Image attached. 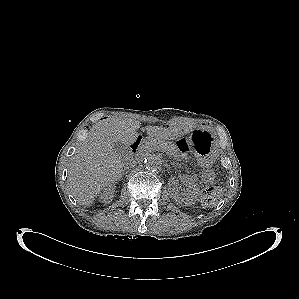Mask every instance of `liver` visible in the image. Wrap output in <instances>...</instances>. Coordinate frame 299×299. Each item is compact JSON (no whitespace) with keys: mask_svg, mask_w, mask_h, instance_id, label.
I'll use <instances>...</instances> for the list:
<instances>
[{"mask_svg":"<svg viewBox=\"0 0 299 299\" xmlns=\"http://www.w3.org/2000/svg\"><path fill=\"white\" fill-rule=\"evenodd\" d=\"M141 123L131 118H108L96 123L81 149L72 156L68 171V186L78 203L90 206L105 187L117 181L126 160L115 153L113 145L121 142L127 147L138 138ZM149 137L174 140L188 133L180 126H147Z\"/></svg>","mask_w":299,"mask_h":299,"instance_id":"obj_1","label":"liver"}]
</instances>
